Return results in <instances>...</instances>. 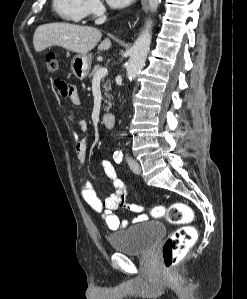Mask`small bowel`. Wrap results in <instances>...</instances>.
<instances>
[{
    "label": "small bowel",
    "mask_w": 247,
    "mask_h": 299,
    "mask_svg": "<svg viewBox=\"0 0 247 299\" xmlns=\"http://www.w3.org/2000/svg\"><path fill=\"white\" fill-rule=\"evenodd\" d=\"M54 83L57 91L70 103L74 105H78L80 103L79 95L74 85L69 84L62 79H56ZM72 120L79 125L82 131H88V125L85 120L76 119L74 117H72ZM87 144V137L80 139L77 136H75V153L77 157V163L79 166H82L85 163L87 154ZM100 166L110 183L111 190L103 187L105 199L101 200L97 196L92 184L90 182H85L82 185L81 189L82 197L84 201L93 210L102 215V218L104 219L108 228L112 231H115L127 225L126 220L120 219L117 215L113 213L115 210L119 208H125L132 212L140 213L144 210V208L136 204L126 203V185L118 177L117 172L110 161L102 160L100 162ZM147 219V215L141 214L135 217L133 221L140 222Z\"/></svg>",
    "instance_id": "c3829d8e"
}]
</instances>
